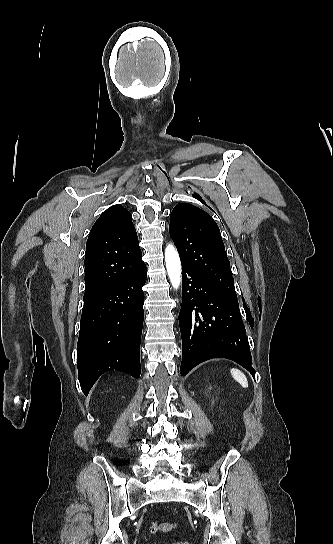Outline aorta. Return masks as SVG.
<instances>
[{
    "label": "aorta",
    "instance_id": "762f6f07",
    "mask_svg": "<svg viewBox=\"0 0 333 544\" xmlns=\"http://www.w3.org/2000/svg\"><path fill=\"white\" fill-rule=\"evenodd\" d=\"M165 264L171 284L178 288L181 282V263L176 249L168 245L165 249Z\"/></svg>",
    "mask_w": 333,
    "mask_h": 544
}]
</instances>
